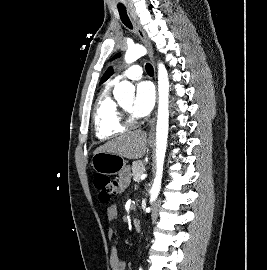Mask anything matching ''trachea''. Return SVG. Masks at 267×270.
Returning <instances> with one entry per match:
<instances>
[{
    "mask_svg": "<svg viewBox=\"0 0 267 270\" xmlns=\"http://www.w3.org/2000/svg\"><path fill=\"white\" fill-rule=\"evenodd\" d=\"M118 11H119V15H120V18L122 20V22L130 29H132V24H131V21L129 19V17L127 16V12H126V9L125 7H122V6H119L118 7ZM146 72L149 74V75H153L154 71H153V67L151 64L147 63L146 64Z\"/></svg>",
    "mask_w": 267,
    "mask_h": 270,
    "instance_id": "3493384b",
    "label": "trachea"
}]
</instances>
